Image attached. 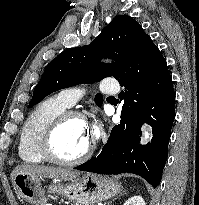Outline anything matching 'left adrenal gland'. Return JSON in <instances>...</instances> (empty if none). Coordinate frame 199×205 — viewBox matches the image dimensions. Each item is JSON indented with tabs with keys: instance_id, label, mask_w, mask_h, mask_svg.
Here are the masks:
<instances>
[{
	"instance_id": "a2214340",
	"label": "left adrenal gland",
	"mask_w": 199,
	"mask_h": 205,
	"mask_svg": "<svg viewBox=\"0 0 199 205\" xmlns=\"http://www.w3.org/2000/svg\"><path fill=\"white\" fill-rule=\"evenodd\" d=\"M126 192H127L126 190L122 191L119 196H122V195L125 194ZM115 199H116V198H115ZM113 200H114V199H113ZM110 204H111V201H110L107 205H110Z\"/></svg>"
}]
</instances>
